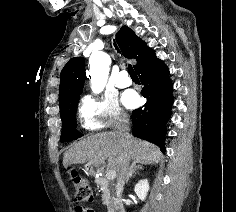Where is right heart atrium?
Listing matches in <instances>:
<instances>
[{"label":"right heart atrium","mask_w":236,"mask_h":212,"mask_svg":"<svg viewBox=\"0 0 236 212\" xmlns=\"http://www.w3.org/2000/svg\"><path fill=\"white\" fill-rule=\"evenodd\" d=\"M78 113L82 127L86 130L113 128L128 119L113 96H85L80 101Z\"/></svg>","instance_id":"obj_1"}]
</instances>
